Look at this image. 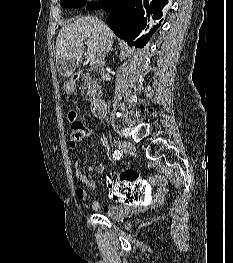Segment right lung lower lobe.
<instances>
[{
  "instance_id": "obj_1",
  "label": "right lung lower lobe",
  "mask_w": 233,
  "mask_h": 263,
  "mask_svg": "<svg viewBox=\"0 0 233 263\" xmlns=\"http://www.w3.org/2000/svg\"><path fill=\"white\" fill-rule=\"evenodd\" d=\"M167 0H102L95 9L104 8L110 14L107 25L129 45L143 47L153 34L151 29L146 36L135 39L142 29H145L150 15L153 19L162 16L161 9Z\"/></svg>"
}]
</instances>
